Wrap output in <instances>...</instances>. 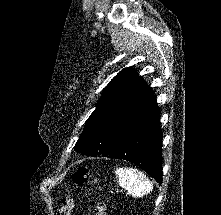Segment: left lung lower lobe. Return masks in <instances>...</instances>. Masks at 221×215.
Masks as SVG:
<instances>
[{
    "label": "left lung lower lobe",
    "instance_id": "obj_1",
    "mask_svg": "<svg viewBox=\"0 0 221 215\" xmlns=\"http://www.w3.org/2000/svg\"><path fill=\"white\" fill-rule=\"evenodd\" d=\"M156 98L148 90L118 122L103 157L135 163L162 183V130Z\"/></svg>",
    "mask_w": 221,
    "mask_h": 215
}]
</instances>
